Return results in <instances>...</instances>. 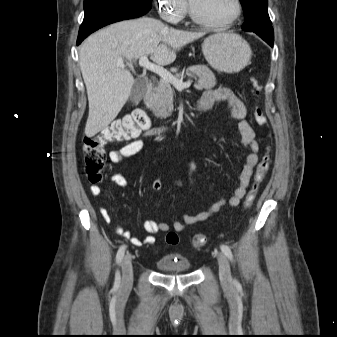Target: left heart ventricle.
I'll return each mask as SVG.
<instances>
[{"label": "left heart ventricle", "instance_id": "b2bd125f", "mask_svg": "<svg viewBox=\"0 0 337 337\" xmlns=\"http://www.w3.org/2000/svg\"><path fill=\"white\" fill-rule=\"evenodd\" d=\"M196 13L209 21L222 22L234 11L233 0H190Z\"/></svg>", "mask_w": 337, "mask_h": 337}]
</instances>
